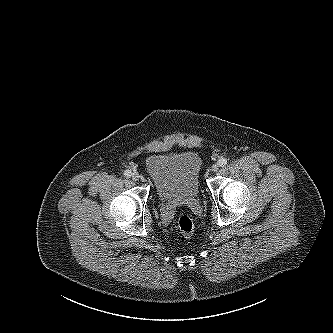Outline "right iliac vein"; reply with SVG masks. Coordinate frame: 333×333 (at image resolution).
<instances>
[{"label": "right iliac vein", "mask_w": 333, "mask_h": 333, "mask_svg": "<svg viewBox=\"0 0 333 333\" xmlns=\"http://www.w3.org/2000/svg\"><path fill=\"white\" fill-rule=\"evenodd\" d=\"M131 176H132L133 181H138L140 178V175L138 172H133Z\"/></svg>", "instance_id": "right-iliac-vein-1"}]
</instances>
